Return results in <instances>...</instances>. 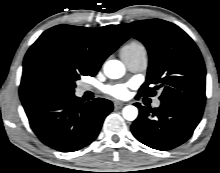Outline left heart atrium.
Returning a JSON list of instances; mask_svg holds the SVG:
<instances>
[{"instance_id":"39dd6f15","label":"left heart atrium","mask_w":220,"mask_h":173,"mask_svg":"<svg viewBox=\"0 0 220 173\" xmlns=\"http://www.w3.org/2000/svg\"><path fill=\"white\" fill-rule=\"evenodd\" d=\"M128 88L127 84H114L107 86L105 92L115 98H125L129 94Z\"/></svg>"}]
</instances>
